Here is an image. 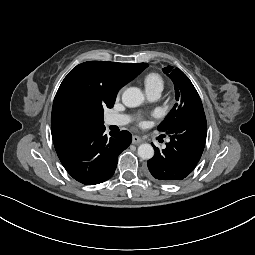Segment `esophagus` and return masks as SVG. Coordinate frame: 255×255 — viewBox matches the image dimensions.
Returning a JSON list of instances; mask_svg holds the SVG:
<instances>
[{
	"label": "esophagus",
	"instance_id": "1",
	"mask_svg": "<svg viewBox=\"0 0 255 255\" xmlns=\"http://www.w3.org/2000/svg\"><path fill=\"white\" fill-rule=\"evenodd\" d=\"M142 142H143V140H142L139 136L134 135V136L132 137V143H133V144H140V143H142Z\"/></svg>",
	"mask_w": 255,
	"mask_h": 255
}]
</instances>
